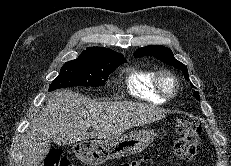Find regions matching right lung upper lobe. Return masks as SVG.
<instances>
[{
	"label": "right lung upper lobe",
	"instance_id": "obj_1",
	"mask_svg": "<svg viewBox=\"0 0 231 166\" xmlns=\"http://www.w3.org/2000/svg\"><path fill=\"white\" fill-rule=\"evenodd\" d=\"M117 53L111 49L104 47H88L87 50H84L79 57L83 58H102L105 56H113L118 55Z\"/></svg>",
	"mask_w": 231,
	"mask_h": 166
}]
</instances>
